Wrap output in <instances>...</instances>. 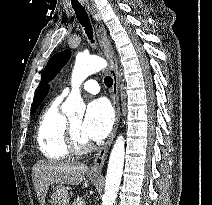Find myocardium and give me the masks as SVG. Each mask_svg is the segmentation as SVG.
<instances>
[{"label": "myocardium", "instance_id": "myocardium-1", "mask_svg": "<svg viewBox=\"0 0 212 205\" xmlns=\"http://www.w3.org/2000/svg\"><path fill=\"white\" fill-rule=\"evenodd\" d=\"M66 142L68 149L74 154H84L91 149V145L87 140L81 139L73 129L71 122L67 123Z\"/></svg>", "mask_w": 212, "mask_h": 205}]
</instances>
